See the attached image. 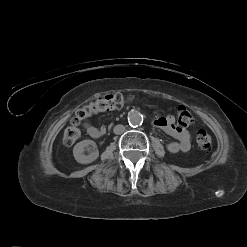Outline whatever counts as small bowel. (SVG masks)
Segmentation results:
<instances>
[{"mask_svg": "<svg viewBox=\"0 0 247 247\" xmlns=\"http://www.w3.org/2000/svg\"><path fill=\"white\" fill-rule=\"evenodd\" d=\"M154 125L177 139V141L169 142L166 145L170 153L187 152L190 149L191 135L185 128L176 123L174 116L159 117L154 120ZM84 128L92 138H99L107 131L106 126L95 127L90 123H85Z\"/></svg>", "mask_w": 247, "mask_h": 247, "instance_id": "obj_1", "label": "small bowel"}]
</instances>
